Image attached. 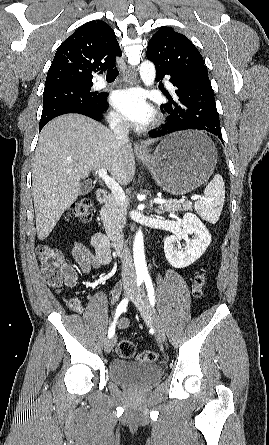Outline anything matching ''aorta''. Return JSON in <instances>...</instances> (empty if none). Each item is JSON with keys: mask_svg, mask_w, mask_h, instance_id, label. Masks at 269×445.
I'll list each match as a JSON object with an SVG mask.
<instances>
[{"mask_svg": "<svg viewBox=\"0 0 269 445\" xmlns=\"http://www.w3.org/2000/svg\"><path fill=\"white\" fill-rule=\"evenodd\" d=\"M155 66L150 61H144L140 65V77L146 86H151L155 80ZM133 257L134 264L136 268V273L138 276H145L148 274L145 253H144V239L142 231L139 230L136 233L134 243H133Z\"/></svg>", "mask_w": 269, "mask_h": 445, "instance_id": "1", "label": "aorta"}]
</instances>
